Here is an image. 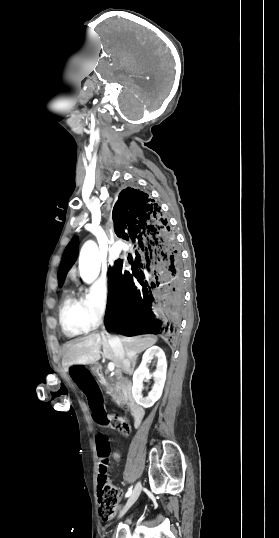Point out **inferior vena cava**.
Segmentation results:
<instances>
[{
    "label": "inferior vena cava",
    "mask_w": 279,
    "mask_h": 538,
    "mask_svg": "<svg viewBox=\"0 0 279 538\" xmlns=\"http://www.w3.org/2000/svg\"><path fill=\"white\" fill-rule=\"evenodd\" d=\"M106 334H108V333H106ZM107 337L109 338L108 342H109L110 346L112 347L113 352L115 353V356L120 355V356L123 357L122 354H124V349H123L122 343L120 341V338H118V336H116V335H109V334L107 335ZM128 355H129V353H128ZM122 362H124V361H122Z\"/></svg>",
    "instance_id": "inferior-vena-cava-1"
}]
</instances>
